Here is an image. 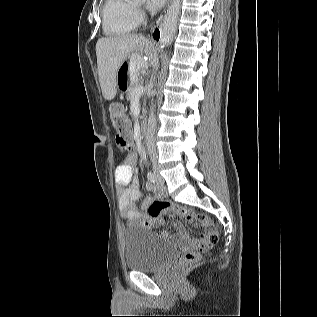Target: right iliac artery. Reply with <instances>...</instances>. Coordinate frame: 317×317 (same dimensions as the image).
<instances>
[{
  "label": "right iliac artery",
  "instance_id": "right-iliac-artery-1",
  "mask_svg": "<svg viewBox=\"0 0 317 317\" xmlns=\"http://www.w3.org/2000/svg\"><path fill=\"white\" fill-rule=\"evenodd\" d=\"M147 178H148V180H149L150 182H152V183H155L156 180H157V177H156V175H155L154 172H149V173L147 174Z\"/></svg>",
  "mask_w": 317,
  "mask_h": 317
}]
</instances>
